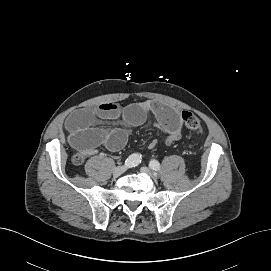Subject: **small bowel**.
Returning <instances> with one entry per match:
<instances>
[{
	"mask_svg": "<svg viewBox=\"0 0 271 271\" xmlns=\"http://www.w3.org/2000/svg\"><path fill=\"white\" fill-rule=\"evenodd\" d=\"M148 113H152L157 124L169 134L167 143H172L179 134L182 117L176 110L154 102H143L125 108L106 103L95 109L77 110L66 120L69 141L84 154H93L101 145L110 151H117L126 144L129 130L119 127L103 129L95 124L100 120L110 119L127 126H139L145 122ZM153 145L152 143L151 146Z\"/></svg>",
	"mask_w": 271,
	"mask_h": 271,
	"instance_id": "obj_1",
	"label": "small bowel"
}]
</instances>
